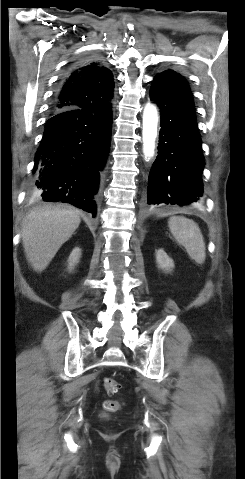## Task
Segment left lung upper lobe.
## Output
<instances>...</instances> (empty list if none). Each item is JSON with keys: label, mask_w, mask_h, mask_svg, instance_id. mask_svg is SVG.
<instances>
[{"label": "left lung upper lobe", "mask_w": 245, "mask_h": 479, "mask_svg": "<svg viewBox=\"0 0 245 479\" xmlns=\"http://www.w3.org/2000/svg\"><path fill=\"white\" fill-rule=\"evenodd\" d=\"M174 75H178V73H176L173 70H165V71L157 74L156 77H166V76H174Z\"/></svg>", "instance_id": "5c2ea615"}]
</instances>
